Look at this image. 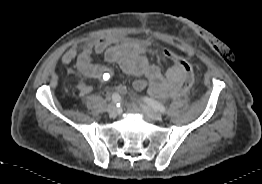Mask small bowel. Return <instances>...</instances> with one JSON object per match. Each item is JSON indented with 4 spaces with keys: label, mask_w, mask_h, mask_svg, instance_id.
<instances>
[{
    "label": "small bowel",
    "mask_w": 262,
    "mask_h": 184,
    "mask_svg": "<svg viewBox=\"0 0 262 184\" xmlns=\"http://www.w3.org/2000/svg\"><path fill=\"white\" fill-rule=\"evenodd\" d=\"M149 44L130 37L105 36L94 42H88L82 47H72L62 56L63 64L75 62L76 69L83 76L97 78L103 82L109 81L114 72L111 69L95 65L91 62L94 53L104 54L109 63L116 64L122 71L133 76H143L133 82L137 91L148 89L158 97L174 96L177 85L183 78L181 66L175 61H169L170 67L162 74L160 68L153 62L154 55L148 52ZM81 97L88 95L92 87L82 81L78 84Z\"/></svg>",
    "instance_id": "obj_1"
}]
</instances>
